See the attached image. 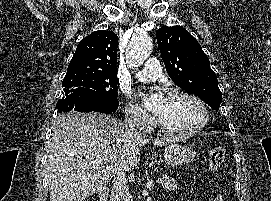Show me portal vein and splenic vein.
Returning <instances> with one entry per match:
<instances>
[{"instance_id": "18ae733b", "label": "portal vein and splenic vein", "mask_w": 271, "mask_h": 201, "mask_svg": "<svg viewBox=\"0 0 271 201\" xmlns=\"http://www.w3.org/2000/svg\"><path fill=\"white\" fill-rule=\"evenodd\" d=\"M94 162L97 163V164H106L107 160L106 159H102V158H100V159L97 158V159L94 160ZM157 182L159 184H161L163 182V180L160 178V179L157 180Z\"/></svg>"}]
</instances>
